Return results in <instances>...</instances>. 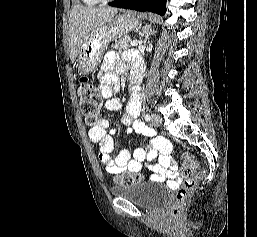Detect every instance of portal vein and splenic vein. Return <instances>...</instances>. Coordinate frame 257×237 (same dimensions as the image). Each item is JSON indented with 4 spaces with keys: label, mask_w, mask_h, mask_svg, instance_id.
I'll return each mask as SVG.
<instances>
[{
    "label": "portal vein and splenic vein",
    "mask_w": 257,
    "mask_h": 237,
    "mask_svg": "<svg viewBox=\"0 0 257 237\" xmlns=\"http://www.w3.org/2000/svg\"><path fill=\"white\" fill-rule=\"evenodd\" d=\"M130 44H131L132 46H136V45L138 44V41H137V40L131 41Z\"/></svg>",
    "instance_id": "18ae733b"
}]
</instances>
